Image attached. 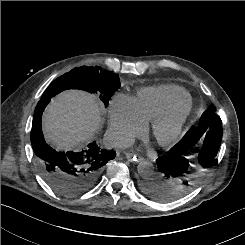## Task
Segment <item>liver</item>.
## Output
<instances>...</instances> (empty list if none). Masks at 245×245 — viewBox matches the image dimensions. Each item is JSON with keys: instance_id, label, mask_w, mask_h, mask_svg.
Segmentation results:
<instances>
[{"instance_id": "1", "label": "liver", "mask_w": 245, "mask_h": 245, "mask_svg": "<svg viewBox=\"0 0 245 245\" xmlns=\"http://www.w3.org/2000/svg\"><path fill=\"white\" fill-rule=\"evenodd\" d=\"M102 111L101 104L88 93H61L43 115L46 141L57 149L71 150L90 140L100 126Z\"/></svg>"}]
</instances>
